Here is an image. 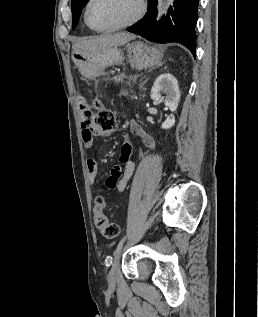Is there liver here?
I'll return each mask as SVG.
<instances>
[{"label":"liver","mask_w":258,"mask_h":317,"mask_svg":"<svg viewBox=\"0 0 258 317\" xmlns=\"http://www.w3.org/2000/svg\"><path fill=\"white\" fill-rule=\"evenodd\" d=\"M136 38V34L131 32H103L99 36H83L77 38L72 44L73 50H98V48H105V46H121L129 40Z\"/></svg>","instance_id":"obj_1"}]
</instances>
